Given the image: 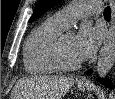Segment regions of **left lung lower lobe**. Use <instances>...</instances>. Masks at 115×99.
Segmentation results:
<instances>
[{"label": "left lung lower lobe", "instance_id": "0a47b994", "mask_svg": "<svg viewBox=\"0 0 115 99\" xmlns=\"http://www.w3.org/2000/svg\"><path fill=\"white\" fill-rule=\"evenodd\" d=\"M91 72H92V70H89L86 72V74H91ZM100 81L102 82V84L107 85V81H105V80H100Z\"/></svg>", "mask_w": 115, "mask_h": 99}]
</instances>
